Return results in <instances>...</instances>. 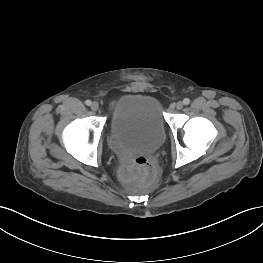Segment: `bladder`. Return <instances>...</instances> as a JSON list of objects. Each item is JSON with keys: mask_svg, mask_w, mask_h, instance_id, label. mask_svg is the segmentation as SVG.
I'll return each mask as SVG.
<instances>
[{"mask_svg": "<svg viewBox=\"0 0 263 263\" xmlns=\"http://www.w3.org/2000/svg\"><path fill=\"white\" fill-rule=\"evenodd\" d=\"M109 135L119 149L132 155L159 150L166 139L159 101L143 94L121 96L112 111Z\"/></svg>", "mask_w": 263, "mask_h": 263, "instance_id": "bladder-1", "label": "bladder"}]
</instances>
